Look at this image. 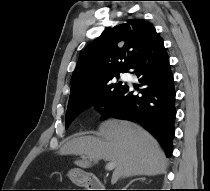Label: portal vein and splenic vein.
<instances>
[{
  "label": "portal vein and splenic vein",
  "mask_w": 210,
  "mask_h": 191,
  "mask_svg": "<svg viewBox=\"0 0 210 191\" xmlns=\"http://www.w3.org/2000/svg\"><path fill=\"white\" fill-rule=\"evenodd\" d=\"M115 166H116V163L115 162H108L107 164H106V170L107 171H111V170H113L114 168H115Z\"/></svg>",
  "instance_id": "obj_1"
}]
</instances>
